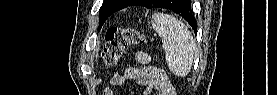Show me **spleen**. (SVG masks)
I'll return each mask as SVG.
<instances>
[{
    "mask_svg": "<svg viewBox=\"0 0 277 95\" xmlns=\"http://www.w3.org/2000/svg\"><path fill=\"white\" fill-rule=\"evenodd\" d=\"M150 23L162 39V48L171 72L180 77L188 75L196 47L191 32L181 21L164 13L153 14Z\"/></svg>",
    "mask_w": 277,
    "mask_h": 95,
    "instance_id": "obj_1",
    "label": "spleen"
}]
</instances>
